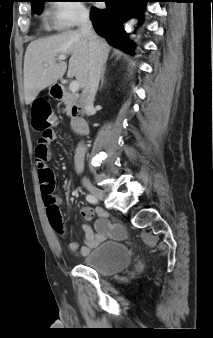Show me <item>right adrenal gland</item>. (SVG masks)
<instances>
[{
  "instance_id": "obj_1",
  "label": "right adrenal gland",
  "mask_w": 213,
  "mask_h": 338,
  "mask_svg": "<svg viewBox=\"0 0 213 338\" xmlns=\"http://www.w3.org/2000/svg\"><path fill=\"white\" fill-rule=\"evenodd\" d=\"M105 70H106V66L103 68L102 74H101V85H100V89L103 86L104 83V74H105Z\"/></svg>"
}]
</instances>
